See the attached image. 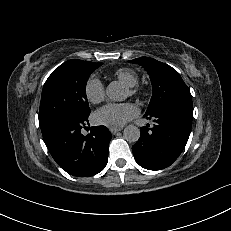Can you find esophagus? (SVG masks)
Instances as JSON below:
<instances>
[{
    "mask_svg": "<svg viewBox=\"0 0 231 231\" xmlns=\"http://www.w3.org/2000/svg\"><path fill=\"white\" fill-rule=\"evenodd\" d=\"M122 130V128H117V129H113V128H111L110 129V132L113 134V135H115V134H117L119 131H121Z\"/></svg>",
    "mask_w": 231,
    "mask_h": 231,
    "instance_id": "1",
    "label": "esophagus"
}]
</instances>
